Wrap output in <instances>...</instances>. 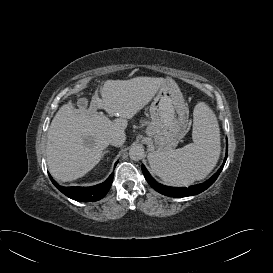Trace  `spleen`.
<instances>
[{
    "label": "spleen",
    "instance_id": "3e777b00",
    "mask_svg": "<svg viewBox=\"0 0 273 273\" xmlns=\"http://www.w3.org/2000/svg\"><path fill=\"white\" fill-rule=\"evenodd\" d=\"M193 115V143L176 150L154 151L148 156L152 172L165 182L187 185L201 180L219 159L220 129L215 114L200 102Z\"/></svg>",
    "mask_w": 273,
    "mask_h": 273
}]
</instances>
